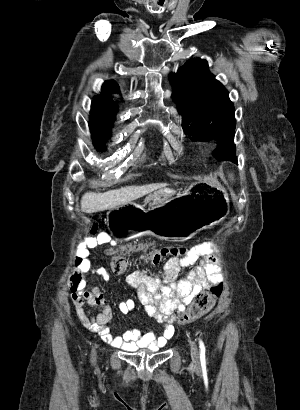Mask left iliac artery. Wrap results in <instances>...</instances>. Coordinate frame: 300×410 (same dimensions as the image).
I'll return each instance as SVG.
<instances>
[{
  "mask_svg": "<svg viewBox=\"0 0 300 410\" xmlns=\"http://www.w3.org/2000/svg\"><path fill=\"white\" fill-rule=\"evenodd\" d=\"M199 348H200V359H201V362H203V361H205V351H206V349H205V345H204V343L201 339L199 340Z\"/></svg>",
  "mask_w": 300,
  "mask_h": 410,
  "instance_id": "44dca946",
  "label": "left iliac artery"
}]
</instances>
